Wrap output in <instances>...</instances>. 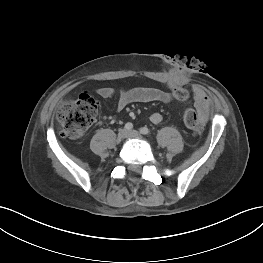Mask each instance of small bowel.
<instances>
[{"label": "small bowel", "instance_id": "obj_1", "mask_svg": "<svg viewBox=\"0 0 263 263\" xmlns=\"http://www.w3.org/2000/svg\"><path fill=\"white\" fill-rule=\"evenodd\" d=\"M175 85H171L170 91H164L154 87H136L132 89H123L119 93L117 108L119 111L123 110L126 106L132 103H149V102H162L168 103L176 99L174 94ZM100 97L104 99L111 98L114 95V89L111 87H102L97 90ZM193 97L195 107L202 120H206L209 114L210 100L204 90L199 86L193 87ZM163 120V116L158 113L150 115V121L153 124H159Z\"/></svg>", "mask_w": 263, "mask_h": 263}]
</instances>
